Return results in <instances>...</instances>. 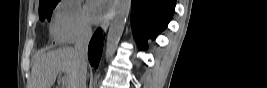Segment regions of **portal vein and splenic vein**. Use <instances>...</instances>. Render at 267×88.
Here are the masks:
<instances>
[{
	"label": "portal vein and splenic vein",
	"instance_id": "obj_1",
	"mask_svg": "<svg viewBox=\"0 0 267 88\" xmlns=\"http://www.w3.org/2000/svg\"><path fill=\"white\" fill-rule=\"evenodd\" d=\"M64 80H65V78L63 77V79H62L63 83H64Z\"/></svg>",
	"mask_w": 267,
	"mask_h": 88
}]
</instances>
